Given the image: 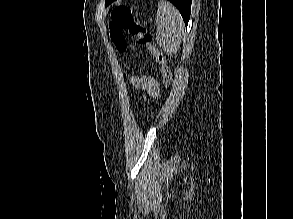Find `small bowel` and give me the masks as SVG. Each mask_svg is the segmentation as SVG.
I'll list each match as a JSON object with an SVG mask.
<instances>
[{
    "label": "small bowel",
    "mask_w": 293,
    "mask_h": 219,
    "mask_svg": "<svg viewBox=\"0 0 293 219\" xmlns=\"http://www.w3.org/2000/svg\"><path fill=\"white\" fill-rule=\"evenodd\" d=\"M134 86L141 90H146L151 96H157L159 93L158 81L150 76L135 77L132 80Z\"/></svg>",
    "instance_id": "c3829d8e"
}]
</instances>
